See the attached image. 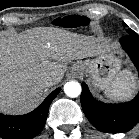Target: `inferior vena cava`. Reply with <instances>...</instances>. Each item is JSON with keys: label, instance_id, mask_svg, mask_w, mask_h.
Instances as JSON below:
<instances>
[{"label": "inferior vena cava", "instance_id": "obj_1", "mask_svg": "<svg viewBox=\"0 0 139 139\" xmlns=\"http://www.w3.org/2000/svg\"><path fill=\"white\" fill-rule=\"evenodd\" d=\"M54 84V80L50 76H46L39 81V86L41 88H47Z\"/></svg>", "mask_w": 139, "mask_h": 139}]
</instances>
